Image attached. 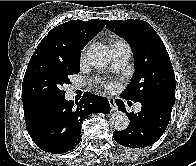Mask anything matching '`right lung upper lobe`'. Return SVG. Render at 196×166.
<instances>
[{"label":"right lung upper lobe","instance_id":"1","mask_svg":"<svg viewBox=\"0 0 196 166\" xmlns=\"http://www.w3.org/2000/svg\"><path fill=\"white\" fill-rule=\"evenodd\" d=\"M107 20H71L53 28L33 55H45L63 63L80 61L85 44L106 25Z\"/></svg>","mask_w":196,"mask_h":166}]
</instances>
